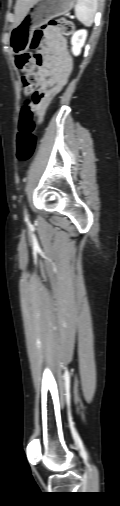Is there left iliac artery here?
Returning a JSON list of instances; mask_svg holds the SVG:
<instances>
[{"mask_svg":"<svg viewBox=\"0 0 120 506\" xmlns=\"http://www.w3.org/2000/svg\"><path fill=\"white\" fill-rule=\"evenodd\" d=\"M24 214H25V219L28 220V216H27L26 210L24 211Z\"/></svg>","mask_w":120,"mask_h":506,"instance_id":"obj_1","label":"left iliac artery"}]
</instances>
